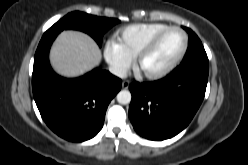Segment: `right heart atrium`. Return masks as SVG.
<instances>
[{"mask_svg": "<svg viewBox=\"0 0 248 165\" xmlns=\"http://www.w3.org/2000/svg\"><path fill=\"white\" fill-rule=\"evenodd\" d=\"M104 58L112 73L123 77L132 64V59L121 49L115 41H108L104 47Z\"/></svg>", "mask_w": 248, "mask_h": 165, "instance_id": "d8ad5b80", "label": "right heart atrium"}]
</instances>
